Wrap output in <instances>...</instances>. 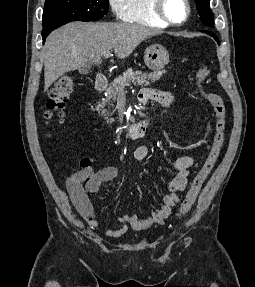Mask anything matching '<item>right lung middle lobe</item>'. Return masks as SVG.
I'll return each instance as SVG.
<instances>
[{
	"mask_svg": "<svg viewBox=\"0 0 255 287\" xmlns=\"http://www.w3.org/2000/svg\"><path fill=\"white\" fill-rule=\"evenodd\" d=\"M109 0H45L42 33L72 21H95L108 11Z\"/></svg>",
	"mask_w": 255,
	"mask_h": 287,
	"instance_id": "obj_1",
	"label": "right lung middle lobe"
}]
</instances>
